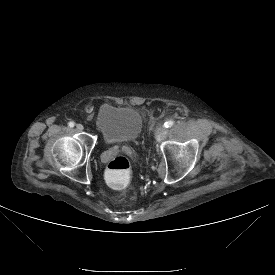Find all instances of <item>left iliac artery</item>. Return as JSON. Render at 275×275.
<instances>
[{
    "label": "left iliac artery",
    "mask_w": 275,
    "mask_h": 275,
    "mask_svg": "<svg viewBox=\"0 0 275 275\" xmlns=\"http://www.w3.org/2000/svg\"><path fill=\"white\" fill-rule=\"evenodd\" d=\"M173 125H174V122H173L172 120L166 121V122L164 123V126H165L166 128L172 127Z\"/></svg>",
    "instance_id": "left-iliac-artery-1"
}]
</instances>
